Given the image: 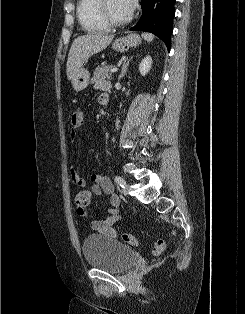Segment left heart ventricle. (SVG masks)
<instances>
[{"label":"left heart ventricle","mask_w":245,"mask_h":314,"mask_svg":"<svg viewBox=\"0 0 245 314\" xmlns=\"http://www.w3.org/2000/svg\"><path fill=\"white\" fill-rule=\"evenodd\" d=\"M104 8L108 17L115 21L127 18L131 13L121 4L119 0H105Z\"/></svg>","instance_id":"b2bd125f"}]
</instances>
